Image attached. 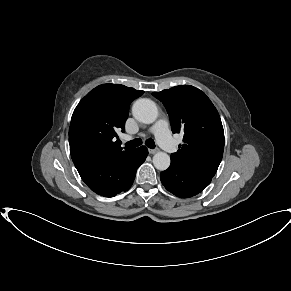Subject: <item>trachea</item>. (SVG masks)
Returning <instances> with one entry per match:
<instances>
[{"instance_id": "1", "label": "trachea", "mask_w": 291, "mask_h": 291, "mask_svg": "<svg viewBox=\"0 0 291 291\" xmlns=\"http://www.w3.org/2000/svg\"><path fill=\"white\" fill-rule=\"evenodd\" d=\"M141 144H142V140L141 139H134V140H131V141L125 143V146L127 148H136V147L140 146ZM145 144L150 149H154L155 148V142L151 138L147 139Z\"/></svg>"}]
</instances>
